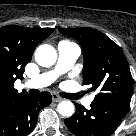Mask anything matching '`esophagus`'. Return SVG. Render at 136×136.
I'll use <instances>...</instances> for the list:
<instances>
[{
	"instance_id": "esophagus-1",
	"label": "esophagus",
	"mask_w": 136,
	"mask_h": 136,
	"mask_svg": "<svg viewBox=\"0 0 136 136\" xmlns=\"http://www.w3.org/2000/svg\"><path fill=\"white\" fill-rule=\"evenodd\" d=\"M52 100L54 102H60L62 101L63 99L61 97H59L57 94H52Z\"/></svg>"
}]
</instances>
